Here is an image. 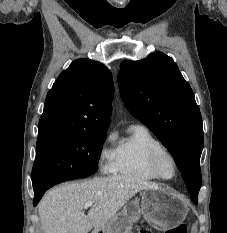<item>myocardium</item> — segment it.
I'll return each mask as SVG.
<instances>
[{
  "label": "myocardium",
  "instance_id": "f54148a6",
  "mask_svg": "<svg viewBox=\"0 0 227 233\" xmlns=\"http://www.w3.org/2000/svg\"><path fill=\"white\" fill-rule=\"evenodd\" d=\"M164 157H168L173 165V172L170 176H166L163 174L161 170V160ZM149 167L151 172L161 180L169 181L174 179L178 173V163L176 157L168 150L162 149L155 151L149 158Z\"/></svg>",
  "mask_w": 227,
  "mask_h": 233
}]
</instances>
